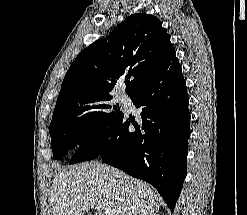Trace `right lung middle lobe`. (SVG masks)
I'll list each match as a JSON object with an SVG mask.
<instances>
[{"label":"right lung middle lobe","instance_id":"1","mask_svg":"<svg viewBox=\"0 0 247 215\" xmlns=\"http://www.w3.org/2000/svg\"><path fill=\"white\" fill-rule=\"evenodd\" d=\"M111 99L110 95L95 96L53 113L49 133L54 159L101 134L122 114L118 104L109 103Z\"/></svg>","mask_w":247,"mask_h":215}]
</instances>
